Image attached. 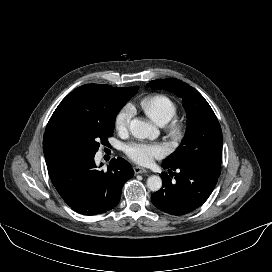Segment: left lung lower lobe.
<instances>
[{
  "label": "left lung lower lobe",
  "mask_w": 272,
  "mask_h": 272,
  "mask_svg": "<svg viewBox=\"0 0 272 272\" xmlns=\"http://www.w3.org/2000/svg\"><path fill=\"white\" fill-rule=\"evenodd\" d=\"M162 166L169 174H161L162 188L151 195V200L158 209L172 215H184L202 206L220 175L187 163Z\"/></svg>",
  "instance_id": "0a47b994"
}]
</instances>
